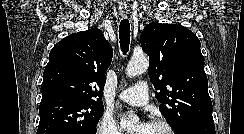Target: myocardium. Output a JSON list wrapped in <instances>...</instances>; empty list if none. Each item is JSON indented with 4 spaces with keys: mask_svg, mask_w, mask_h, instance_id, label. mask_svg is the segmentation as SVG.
I'll return each instance as SVG.
<instances>
[{
    "mask_svg": "<svg viewBox=\"0 0 244 134\" xmlns=\"http://www.w3.org/2000/svg\"><path fill=\"white\" fill-rule=\"evenodd\" d=\"M150 124L163 127L167 131L168 134H177L176 131L174 130V128L165 120L155 119V120L151 121Z\"/></svg>",
    "mask_w": 244,
    "mask_h": 134,
    "instance_id": "1",
    "label": "myocardium"
}]
</instances>
